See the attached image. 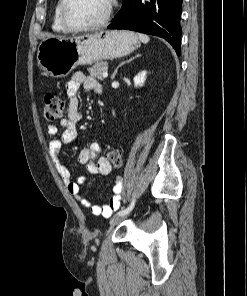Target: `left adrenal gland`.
<instances>
[{"label":"left adrenal gland","mask_w":247,"mask_h":296,"mask_svg":"<svg viewBox=\"0 0 247 296\" xmlns=\"http://www.w3.org/2000/svg\"><path fill=\"white\" fill-rule=\"evenodd\" d=\"M137 57H140V54H136L135 56L131 57V58L128 59L127 61H124V62L120 63V64L116 67V69L114 70V72H113V74H112V76H111V79L114 80L116 74L118 73V69H119L121 66H123V65L126 64V63H129L130 61H132L133 59H135V58H137Z\"/></svg>","instance_id":"obj_1"}]
</instances>
